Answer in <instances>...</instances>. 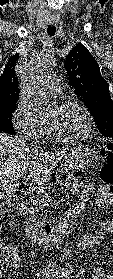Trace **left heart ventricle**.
Segmentation results:
<instances>
[{
	"label": "left heart ventricle",
	"instance_id": "left-heart-ventricle-1",
	"mask_svg": "<svg viewBox=\"0 0 113 279\" xmlns=\"http://www.w3.org/2000/svg\"><path fill=\"white\" fill-rule=\"evenodd\" d=\"M46 121L63 136H77L81 134L86 125L82 111L76 106L58 108L54 106L49 111Z\"/></svg>",
	"mask_w": 113,
	"mask_h": 279
}]
</instances>
